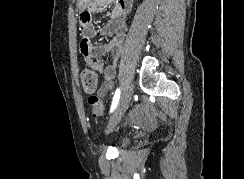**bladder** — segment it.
<instances>
[{
	"mask_svg": "<svg viewBox=\"0 0 244 179\" xmlns=\"http://www.w3.org/2000/svg\"><path fill=\"white\" fill-rule=\"evenodd\" d=\"M131 140L128 139V140H125L123 143H122V148H126L127 146H129Z\"/></svg>",
	"mask_w": 244,
	"mask_h": 179,
	"instance_id": "31cf9c89",
	"label": "bladder"
}]
</instances>
